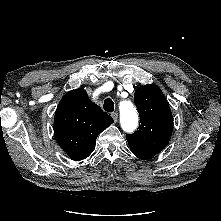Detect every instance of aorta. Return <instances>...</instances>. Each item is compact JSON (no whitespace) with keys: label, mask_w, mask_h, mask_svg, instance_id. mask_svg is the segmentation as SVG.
Returning <instances> with one entry per match:
<instances>
[{"label":"aorta","mask_w":221,"mask_h":221,"mask_svg":"<svg viewBox=\"0 0 221 221\" xmlns=\"http://www.w3.org/2000/svg\"><path fill=\"white\" fill-rule=\"evenodd\" d=\"M120 124L124 131L133 132L138 126V114L130 100L121 101L119 104Z\"/></svg>","instance_id":"obj_1"}]
</instances>
